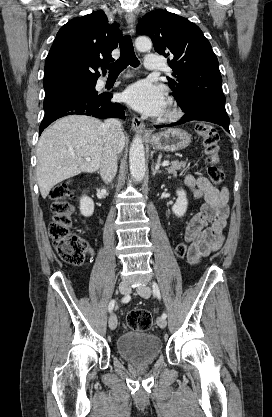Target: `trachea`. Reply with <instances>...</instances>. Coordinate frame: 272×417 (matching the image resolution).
<instances>
[{
	"mask_svg": "<svg viewBox=\"0 0 272 417\" xmlns=\"http://www.w3.org/2000/svg\"><path fill=\"white\" fill-rule=\"evenodd\" d=\"M120 57L117 61L110 64L109 75L120 74L128 65L139 66V61L135 55L132 39L129 35L123 36L120 41Z\"/></svg>",
	"mask_w": 272,
	"mask_h": 417,
	"instance_id": "3493384b",
	"label": "trachea"
}]
</instances>
